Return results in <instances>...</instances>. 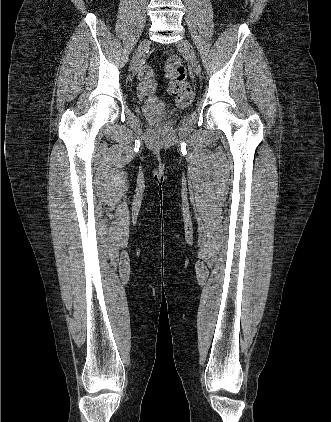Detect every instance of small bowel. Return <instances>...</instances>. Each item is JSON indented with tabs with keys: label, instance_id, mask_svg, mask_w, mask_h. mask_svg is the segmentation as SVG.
<instances>
[{
	"label": "small bowel",
	"instance_id": "1",
	"mask_svg": "<svg viewBox=\"0 0 331 422\" xmlns=\"http://www.w3.org/2000/svg\"><path fill=\"white\" fill-rule=\"evenodd\" d=\"M140 83H139V95L141 97H148L154 90L155 84L152 78H144L141 75V71L139 72Z\"/></svg>",
	"mask_w": 331,
	"mask_h": 422
}]
</instances>
